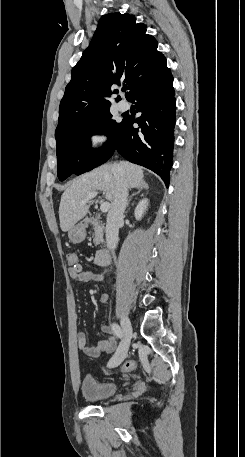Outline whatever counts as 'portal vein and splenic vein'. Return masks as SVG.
Masks as SVG:
<instances>
[{
  "instance_id": "obj_1",
  "label": "portal vein and splenic vein",
  "mask_w": 245,
  "mask_h": 457,
  "mask_svg": "<svg viewBox=\"0 0 245 457\" xmlns=\"http://www.w3.org/2000/svg\"><path fill=\"white\" fill-rule=\"evenodd\" d=\"M96 194H98V192H89V194H87V196H85V198H83V200H81V202H88V200H91V198H94V196H96ZM110 208V202H102L101 206H100V210H102V212H107V210H109Z\"/></svg>"
}]
</instances>
